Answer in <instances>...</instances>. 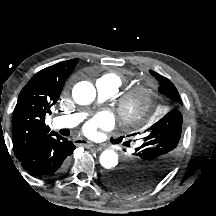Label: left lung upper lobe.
<instances>
[{
    "label": "left lung upper lobe",
    "instance_id": "obj_1",
    "mask_svg": "<svg viewBox=\"0 0 216 216\" xmlns=\"http://www.w3.org/2000/svg\"><path fill=\"white\" fill-rule=\"evenodd\" d=\"M159 82V91L171 101L169 112L139 136L135 151L125 165L115 169L108 185L124 195L144 192L159 183L170 171L179 155L183 117L179 111L181 99L174 84L150 70ZM137 135V133L133 134ZM121 142L122 137L115 140Z\"/></svg>",
    "mask_w": 216,
    "mask_h": 216
}]
</instances>
